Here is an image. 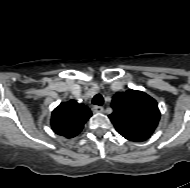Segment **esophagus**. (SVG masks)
I'll return each mask as SVG.
<instances>
[{"label": "esophagus", "instance_id": "obj_1", "mask_svg": "<svg viewBox=\"0 0 190 188\" xmlns=\"http://www.w3.org/2000/svg\"><path fill=\"white\" fill-rule=\"evenodd\" d=\"M93 111L95 113H102L104 111V108L102 106H93Z\"/></svg>", "mask_w": 190, "mask_h": 188}]
</instances>
